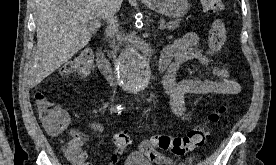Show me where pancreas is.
Wrapping results in <instances>:
<instances>
[{
  "label": "pancreas",
  "instance_id": "pancreas-1",
  "mask_svg": "<svg viewBox=\"0 0 276 165\" xmlns=\"http://www.w3.org/2000/svg\"><path fill=\"white\" fill-rule=\"evenodd\" d=\"M179 25H180V21H179V20L170 21V22L167 24V29H168V30H174V29L178 28Z\"/></svg>",
  "mask_w": 276,
  "mask_h": 165
}]
</instances>
